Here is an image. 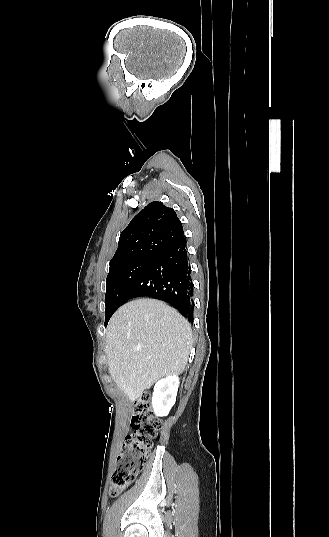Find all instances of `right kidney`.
I'll use <instances>...</instances> for the list:
<instances>
[{
	"mask_svg": "<svg viewBox=\"0 0 329 537\" xmlns=\"http://www.w3.org/2000/svg\"><path fill=\"white\" fill-rule=\"evenodd\" d=\"M178 387L179 377L177 375L167 376L157 381L152 396V407L156 416L163 417L169 414L175 404Z\"/></svg>",
	"mask_w": 329,
	"mask_h": 537,
	"instance_id": "right-kidney-1",
	"label": "right kidney"
}]
</instances>
